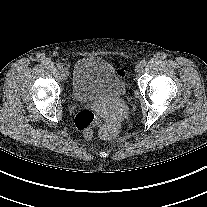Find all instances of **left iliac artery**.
I'll return each mask as SVG.
<instances>
[{"instance_id":"obj_1","label":"left iliac artery","mask_w":207,"mask_h":207,"mask_svg":"<svg viewBox=\"0 0 207 207\" xmlns=\"http://www.w3.org/2000/svg\"><path fill=\"white\" fill-rule=\"evenodd\" d=\"M140 64H141L142 67H144L146 65V61L142 60V61H140Z\"/></svg>"}]
</instances>
